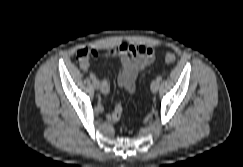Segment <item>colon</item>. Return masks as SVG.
Returning a JSON list of instances; mask_svg holds the SVG:
<instances>
[{
	"label": "colon",
	"instance_id": "colon-1",
	"mask_svg": "<svg viewBox=\"0 0 243 167\" xmlns=\"http://www.w3.org/2000/svg\"><path fill=\"white\" fill-rule=\"evenodd\" d=\"M89 54H90L89 49H81L76 53V58L78 61H80L88 57ZM164 58L168 64H173L176 61V56L173 53H166Z\"/></svg>",
	"mask_w": 243,
	"mask_h": 167
}]
</instances>
